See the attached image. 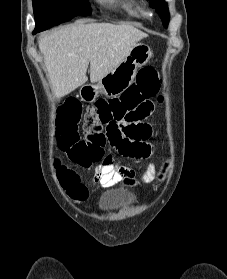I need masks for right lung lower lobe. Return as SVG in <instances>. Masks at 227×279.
<instances>
[{
  "mask_svg": "<svg viewBox=\"0 0 227 279\" xmlns=\"http://www.w3.org/2000/svg\"><path fill=\"white\" fill-rule=\"evenodd\" d=\"M37 32H40V31H38V30L35 29L33 33H37Z\"/></svg>",
  "mask_w": 227,
  "mask_h": 279,
  "instance_id": "1",
  "label": "right lung lower lobe"
}]
</instances>
